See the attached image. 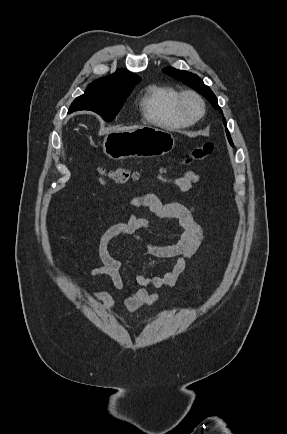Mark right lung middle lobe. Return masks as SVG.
Listing matches in <instances>:
<instances>
[{"instance_id":"obj_1","label":"right lung middle lobe","mask_w":287,"mask_h":434,"mask_svg":"<svg viewBox=\"0 0 287 434\" xmlns=\"http://www.w3.org/2000/svg\"><path fill=\"white\" fill-rule=\"evenodd\" d=\"M139 82L117 84L94 81L89 84L83 95L73 101L69 112L91 110L98 113L105 121H111Z\"/></svg>"}]
</instances>
